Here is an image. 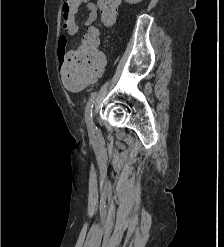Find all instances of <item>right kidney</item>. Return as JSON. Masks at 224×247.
<instances>
[{
    "label": "right kidney",
    "mask_w": 224,
    "mask_h": 247,
    "mask_svg": "<svg viewBox=\"0 0 224 247\" xmlns=\"http://www.w3.org/2000/svg\"><path fill=\"white\" fill-rule=\"evenodd\" d=\"M128 4H138V2H142V0H125Z\"/></svg>",
    "instance_id": "obj_1"
}]
</instances>
